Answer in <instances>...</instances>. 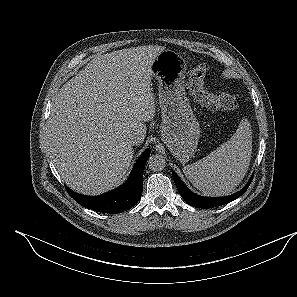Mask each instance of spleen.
Masks as SVG:
<instances>
[{"label": "spleen", "instance_id": "3e777b00", "mask_svg": "<svg viewBox=\"0 0 297 297\" xmlns=\"http://www.w3.org/2000/svg\"><path fill=\"white\" fill-rule=\"evenodd\" d=\"M251 154V125L248 119H242L230 140L203 159L185 166L183 172L193 186L204 194L228 195L243 180Z\"/></svg>", "mask_w": 297, "mask_h": 297}]
</instances>
